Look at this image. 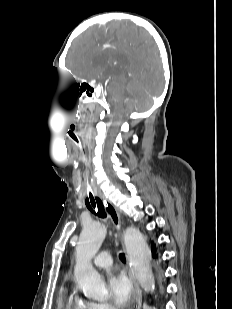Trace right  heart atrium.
Listing matches in <instances>:
<instances>
[{"mask_svg": "<svg viewBox=\"0 0 232 309\" xmlns=\"http://www.w3.org/2000/svg\"><path fill=\"white\" fill-rule=\"evenodd\" d=\"M91 309H114L109 303L105 302H90Z\"/></svg>", "mask_w": 232, "mask_h": 309, "instance_id": "right-heart-atrium-1", "label": "right heart atrium"}]
</instances>
